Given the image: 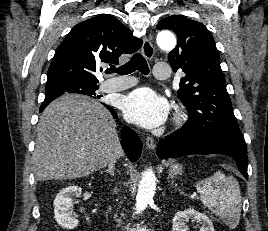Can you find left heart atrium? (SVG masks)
<instances>
[{
	"instance_id": "left-heart-atrium-1",
	"label": "left heart atrium",
	"mask_w": 268,
	"mask_h": 231,
	"mask_svg": "<svg viewBox=\"0 0 268 231\" xmlns=\"http://www.w3.org/2000/svg\"><path fill=\"white\" fill-rule=\"evenodd\" d=\"M125 118L145 128L161 125L168 115V104L164 98L150 88H139L129 93L123 102Z\"/></svg>"
}]
</instances>
